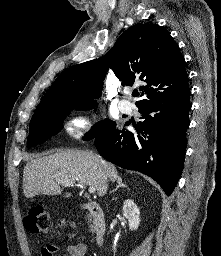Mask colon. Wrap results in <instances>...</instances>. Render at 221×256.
Listing matches in <instances>:
<instances>
[{
  "mask_svg": "<svg viewBox=\"0 0 221 256\" xmlns=\"http://www.w3.org/2000/svg\"><path fill=\"white\" fill-rule=\"evenodd\" d=\"M24 225L29 232L47 233L52 223L48 211L43 206H35L25 217Z\"/></svg>",
  "mask_w": 221,
  "mask_h": 256,
  "instance_id": "colon-1",
  "label": "colon"
}]
</instances>
